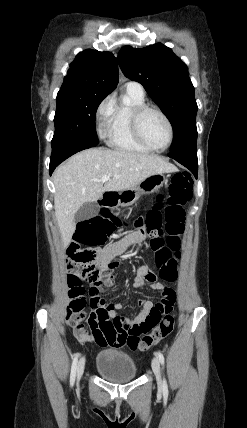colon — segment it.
<instances>
[{
	"mask_svg": "<svg viewBox=\"0 0 247 428\" xmlns=\"http://www.w3.org/2000/svg\"><path fill=\"white\" fill-rule=\"evenodd\" d=\"M192 187L193 181L189 174L178 173L172 177L166 197L164 218L157 207L148 208L147 217H87V221L79 225L74 236L76 244L69 251L77 275L69 277L70 303L66 315L76 335L88 333L82 322L85 317L86 300L79 277L90 283V290L101 295L109 276V267L100 263L97 253L83 249L79 244L92 245L93 248V244L99 243V239H115L117 232H125L127 226H137L151 236L150 248L154 253V263L159 270L160 278L167 282L176 281L181 235L184 232V206L191 199ZM106 211L115 213L117 206L108 204ZM173 304L171 298L136 301V306L141 309L144 305L150 309V313L149 317L130 320L132 323L130 325L117 318L111 319L108 307L91 299L93 310L88 324L97 342L103 339L112 346L126 345L134 351H145L172 332L175 324Z\"/></svg>",
	"mask_w": 247,
	"mask_h": 428,
	"instance_id": "5ec220e1",
	"label": "colon"
}]
</instances>
